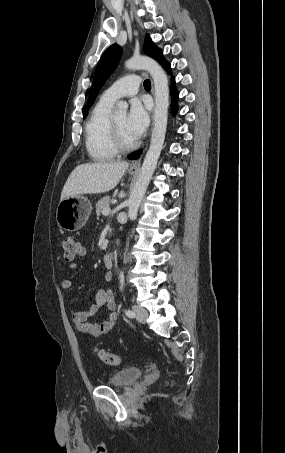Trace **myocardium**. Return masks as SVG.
<instances>
[{"mask_svg": "<svg viewBox=\"0 0 285 453\" xmlns=\"http://www.w3.org/2000/svg\"><path fill=\"white\" fill-rule=\"evenodd\" d=\"M110 132L114 147L118 152H127L135 149L139 142L137 140L127 143L122 138L119 129L115 123L114 117L110 119Z\"/></svg>", "mask_w": 285, "mask_h": 453, "instance_id": "1", "label": "myocardium"}]
</instances>
